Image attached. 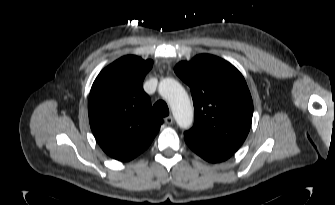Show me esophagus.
I'll use <instances>...</instances> for the list:
<instances>
[{"instance_id": "obj_1", "label": "esophagus", "mask_w": 335, "mask_h": 205, "mask_svg": "<svg viewBox=\"0 0 335 205\" xmlns=\"http://www.w3.org/2000/svg\"><path fill=\"white\" fill-rule=\"evenodd\" d=\"M164 121H165V123L167 124V125H171V124H173V122H174V118H173V116H167L165 119H164Z\"/></svg>"}]
</instances>
